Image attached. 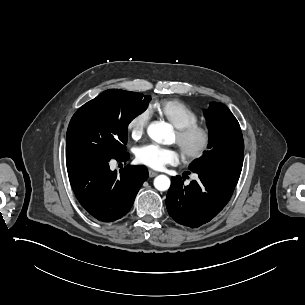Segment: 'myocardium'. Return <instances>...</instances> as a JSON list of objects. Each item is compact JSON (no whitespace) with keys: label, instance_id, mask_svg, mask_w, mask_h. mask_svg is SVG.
Segmentation results:
<instances>
[{"label":"myocardium","instance_id":"obj_1","mask_svg":"<svg viewBox=\"0 0 305 305\" xmlns=\"http://www.w3.org/2000/svg\"><path fill=\"white\" fill-rule=\"evenodd\" d=\"M177 144L180 148L181 154L188 161L199 160L206 155L213 143V132L211 128L205 124H192L176 128ZM198 136L199 143L193 147L188 148L185 144Z\"/></svg>","mask_w":305,"mask_h":305}]
</instances>
